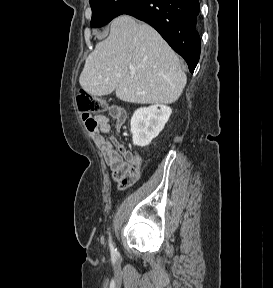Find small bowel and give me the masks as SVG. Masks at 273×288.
I'll return each mask as SVG.
<instances>
[{
	"mask_svg": "<svg viewBox=\"0 0 273 288\" xmlns=\"http://www.w3.org/2000/svg\"><path fill=\"white\" fill-rule=\"evenodd\" d=\"M109 116L114 120L115 128L119 132L126 122L125 110L116 105L108 108ZM99 130L94 140L112 172V179L118 184L120 190H125L135 184L141 175L142 158L133 153L119 141L116 136L105 138L103 134L111 131V124L106 116H97Z\"/></svg>",
	"mask_w": 273,
	"mask_h": 288,
	"instance_id": "small-bowel-1",
	"label": "small bowel"
}]
</instances>
